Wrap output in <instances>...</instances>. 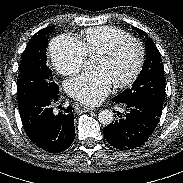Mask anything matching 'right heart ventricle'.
<instances>
[{
    "instance_id": "1",
    "label": "right heart ventricle",
    "mask_w": 183,
    "mask_h": 183,
    "mask_svg": "<svg viewBox=\"0 0 183 183\" xmlns=\"http://www.w3.org/2000/svg\"><path fill=\"white\" fill-rule=\"evenodd\" d=\"M131 37L126 31L111 27L101 26L87 29L81 37L80 43L88 57H95L118 40Z\"/></svg>"
}]
</instances>
